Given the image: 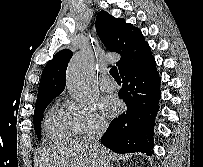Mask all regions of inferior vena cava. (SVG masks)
Returning a JSON list of instances; mask_svg holds the SVG:
<instances>
[{"label":"inferior vena cava","mask_w":203,"mask_h":167,"mask_svg":"<svg viewBox=\"0 0 203 167\" xmlns=\"http://www.w3.org/2000/svg\"><path fill=\"white\" fill-rule=\"evenodd\" d=\"M107 126L108 124L105 121H102V120L95 121L92 128L89 130V132L84 138L85 142H87L94 150L98 151L101 154L102 167H108V166L105 160H103L102 148L99 145V140L102 137V135L105 133Z\"/></svg>","instance_id":"1"}]
</instances>
